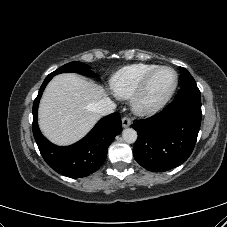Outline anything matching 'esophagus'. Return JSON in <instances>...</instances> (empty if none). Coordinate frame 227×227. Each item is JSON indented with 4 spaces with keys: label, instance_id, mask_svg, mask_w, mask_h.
<instances>
[{
    "label": "esophagus",
    "instance_id": "obj_1",
    "mask_svg": "<svg viewBox=\"0 0 227 227\" xmlns=\"http://www.w3.org/2000/svg\"><path fill=\"white\" fill-rule=\"evenodd\" d=\"M131 125V119L128 117H123L122 118V126L124 128L129 127Z\"/></svg>",
    "mask_w": 227,
    "mask_h": 227
}]
</instances>
